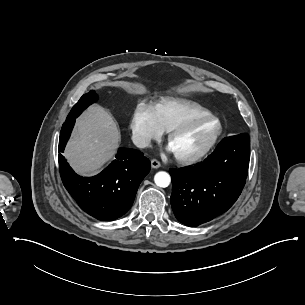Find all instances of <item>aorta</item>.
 Segmentation results:
<instances>
[{"label": "aorta", "instance_id": "762f6f07", "mask_svg": "<svg viewBox=\"0 0 305 305\" xmlns=\"http://www.w3.org/2000/svg\"><path fill=\"white\" fill-rule=\"evenodd\" d=\"M154 182L158 187L165 188L171 183V177L167 172L160 171L155 174Z\"/></svg>", "mask_w": 305, "mask_h": 305}]
</instances>
